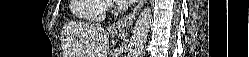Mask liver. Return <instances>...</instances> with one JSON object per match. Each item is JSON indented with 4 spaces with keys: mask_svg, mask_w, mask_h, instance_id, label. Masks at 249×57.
I'll use <instances>...</instances> for the list:
<instances>
[{
    "mask_svg": "<svg viewBox=\"0 0 249 57\" xmlns=\"http://www.w3.org/2000/svg\"><path fill=\"white\" fill-rule=\"evenodd\" d=\"M69 57H107L109 42L103 27L92 23H68L64 27Z\"/></svg>",
    "mask_w": 249,
    "mask_h": 57,
    "instance_id": "6515ba94",
    "label": "liver"
}]
</instances>
